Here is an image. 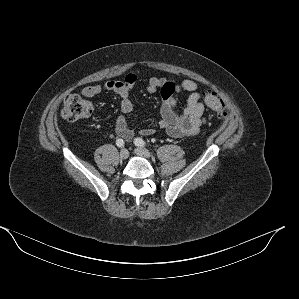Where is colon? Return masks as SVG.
Listing matches in <instances>:
<instances>
[{
    "mask_svg": "<svg viewBox=\"0 0 299 299\" xmlns=\"http://www.w3.org/2000/svg\"><path fill=\"white\" fill-rule=\"evenodd\" d=\"M206 106L220 119L227 117L224 101L216 94L206 92L204 95ZM93 112L92 104L77 94L68 95L63 103L61 116L69 122H77L91 116Z\"/></svg>",
    "mask_w": 299,
    "mask_h": 299,
    "instance_id": "colon-1",
    "label": "colon"
}]
</instances>
